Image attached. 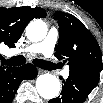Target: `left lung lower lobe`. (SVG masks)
Returning a JSON list of instances; mask_svg holds the SVG:
<instances>
[{"instance_id":"0a47b994","label":"left lung lower lobe","mask_w":103,"mask_h":103,"mask_svg":"<svg viewBox=\"0 0 103 103\" xmlns=\"http://www.w3.org/2000/svg\"><path fill=\"white\" fill-rule=\"evenodd\" d=\"M99 72H70L63 80L61 95L49 103H83L98 84Z\"/></svg>"}]
</instances>
